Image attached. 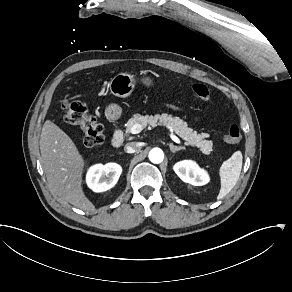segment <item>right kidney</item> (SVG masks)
I'll return each instance as SVG.
<instances>
[{
    "mask_svg": "<svg viewBox=\"0 0 292 292\" xmlns=\"http://www.w3.org/2000/svg\"><path fill=\"white\" fill-rule=\"evenodd\" d=\"M121 173L122 169L117 164L95 165L87 175V183L93 191L104 192L114 187Z\"/></svg>",
    "mask_w": 292,
    "mask_h": 292,
    "instance_id": "1",
    "label": "right kidney"
}]
</instances>
